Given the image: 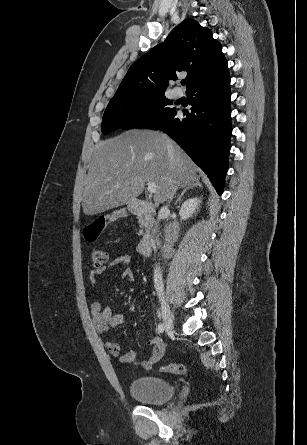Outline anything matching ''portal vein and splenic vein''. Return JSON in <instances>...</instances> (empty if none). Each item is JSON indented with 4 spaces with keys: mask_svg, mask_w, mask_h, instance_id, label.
Here are the masks:
<instances>
[{
    "mask_svg": "<svg viewBox=\"0 0 307 445\" xmlns=\"http://www.w3.org/2000/svg\"><path fill=\"white\" fill-rule=\"evenodd\" d=\"M148 184V190L150 192V194H153V192H156V182H153V180H148L147 182Z\"/></svg>",
    "mask_w": 307,
    "mask_h": 445,
    "instance_id": "18ae733b",
    "label": "portal vein and splenic vein"
}]
</instances>
